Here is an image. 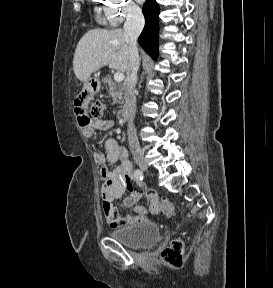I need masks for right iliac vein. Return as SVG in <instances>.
I'll return each mask as SVG.
<instances>
[{"mask_svg": "<svg viewBox=\"0 0 273 288\" xmlns=\"http://www.w3.org/2000/svg\"><path fill=\"white\" fill-rule=\"evenodd\" d=\"M135 160H136V163L138 164V166L141 168V170H143V171L148 170V164L143 157H137Z\"/></svg>", "mask_w": 273, "mask_h": 288, "instance_id": "1", "label": "right iliac vein"}]
</instances>
